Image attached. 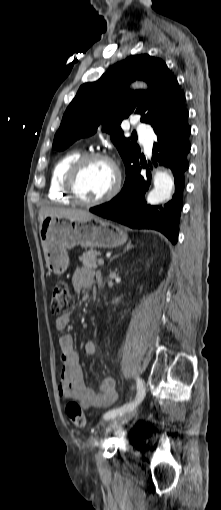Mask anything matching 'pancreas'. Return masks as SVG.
Segmentation results:
<instances>
[{"mask_svg": "<svg viewBox=\"0 0 221 510\" xmlns=\"http://www.w3.org/2000/svg\"><path fill=\"white\" fill-rule=\"evenodd\" d=\"M100 255L99 251L89 250L79 257L84 267L89 269H97V257Z\"/></svg>", "mask_w": 221, "mask_h": 510, "instance_id": "cf45deb5", "label": "pancreas"}]
</instances>
